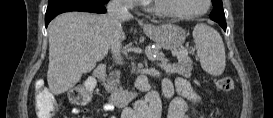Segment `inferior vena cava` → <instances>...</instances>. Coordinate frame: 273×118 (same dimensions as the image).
<instances>
[{"label":"inferior vena cava","instance_id":"inferior-vena-cava-1","mask_svg":"<svg viewBox=\"0 0 273 118\" xmlns=\"http://www.w3.org/2000/svg\"><path fill=\"white\" fill-rule=\"evenodd\" d=\"M108 14L112 18H119V17H126L129 16V12L127 8H125L120 0H111L107 6ZM116 33L122 31V27L120 23H116L115 25ZM120 48H121V41L118 38L112 47L113 57L116 59L117 63L121 64V57H120Z\"/></svg>","mask_w":273,"mask_h":118}]
</instances>
